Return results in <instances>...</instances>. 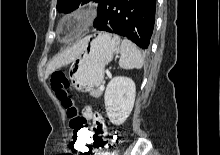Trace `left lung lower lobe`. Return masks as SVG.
Listing matches in <instances>:
<instances>
[{
  "mask_svg": "<svg viewBox=\"0 0 220 155\" xmlns=\"http://www.w3.org/2000/svg\"><path fill=\"white\" fill-rule=\"evenodd\" d=\"M156 0H101L94 27L124 36L146 50L155 22Z\"/></svg>",
  "mask_w": 220,
  "mask_h": 155,
  "instance_id": "left-lung-lower-lobe-1",
  "label": "left lung lower lobe"
}]
</instances>
